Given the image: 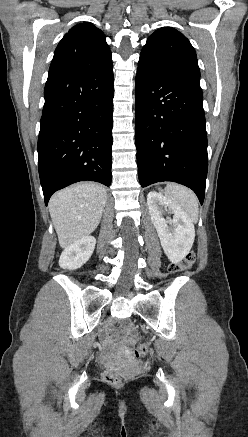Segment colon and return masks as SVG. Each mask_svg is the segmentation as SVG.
<instances>
[{
	"label": "colon",
	"instance_id": "obj_1",
	"mask_svg": "<svg viewBox=\"0 0 248 437\" xmlns=\"http://www.w3.org/2000/svg\"><path fill=\"white\" fill-rule=\"evenodd\" d=\"M194 262V253H188L179 263L172 264L169 267V272L177 273L182 270L190 269L193 266ZM148 349L149 347L147 342L139 344L135 349V356L137 358L145 356L148 353ZM103 377L106 383L115 387L120 386L123 381L122 377L119 374L111 370L105 371Z\"/></svg>",
	"mask_w": 248,
	"mask_h": 437
}]
</instances>
